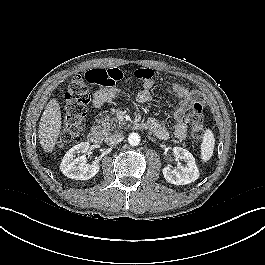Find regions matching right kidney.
Segmentation results:
<instances>
[{"instance_id": "obj_1", "label": "right kidney", "mask_w": 265, "mask_h": 265, "mask_svg": "<svg viewBox=\"0 0 265 265\" xmlns=\"http://www.w3.org/2000/svg\"><path fill=\"white\" fill-rule=\"evenodd\" d=\"M88 149L89 142H81L67 151L60 165L65 176L76 180H88L98 173L100 166L97 162L87 164L86 157L79 156L80 153H86Z\"/></svg>"}]
</instances>
